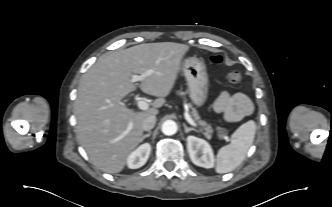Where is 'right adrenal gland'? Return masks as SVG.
I'll return each mask as SVG.
<instances>
[{"instance_id":"1","label":"right adrenal gland","mask_w":332,"mask_h":207,"mask_svg":"<svg viewBox=\"0 0 332 207\" xmlns=\"http://www.w3.org/2000/svg\"><path fill=\"white\" fill-rule=\"evenodd\" d=\"M151 135V132L149 131L147 134L142 136V140H144L145 138L149 137Z\"/></svg>"}]
</instances>
